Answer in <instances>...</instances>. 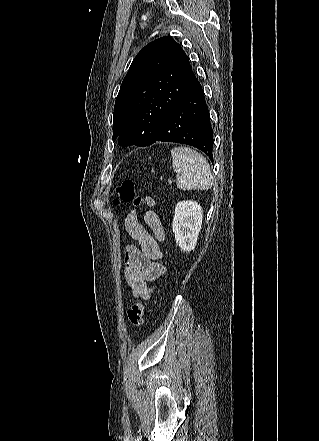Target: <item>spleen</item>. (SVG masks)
<instances>
[{
    "mask_svg": "<svg viewBox=\"0 0 319 441\" xmlns=\"http://www.w3.org/2000/svg\"><path fill=\"white\" fill-rule=\"evenodd\" d=\"M171 156L180 190H207L212 187L213 175L203 155L189 147L180 146L171 150Z\"/></svg>",
    "mask_w": 319,
    "mask_h": 441,
    "instance_id": "1",
    "label": "spleen"
}]
</instances>
